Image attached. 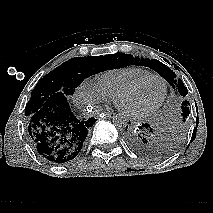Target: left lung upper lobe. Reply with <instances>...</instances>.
<instances>
[{
  "label": "left lung upper lobe",
  "mask_w": 213,
  "mask_h": 213,
  "mask_svg": "<svg viewBox=\"0 0 213 213\" xmlns=\"http://www.w3.org/2000/svg\"><path fill=\"white\" fill-rule=\"evenodd\" d=\"M126 59V63L124 66L127 65H138V66H146L150 67L158 74H160L171 86L175 89L180 97H185L188 94L187 88L184 86V83L180 79H176L175 73L169 69L165 64L161 63L158 60H150L144 58H134L130 54H123ZM189 102L184 100L182 102V122L185 123L187 117L189 116ZM179 137H175L174 135H165L163 140L160 144V153L163 156L168 155L171 151L175 150L178 145Z\"/></svg>",
  "instance_id": "5c2ea615"
}]
</instances>
